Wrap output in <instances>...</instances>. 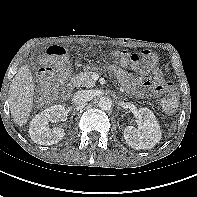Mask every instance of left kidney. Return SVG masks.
<instances>
[{"label": "left kidney", "instance_id": "left-kidney-1", "mask_svg": "<svg viewBox=\"0 0 197 197\" xmlns=\"http://www.w3.org/2000/svg\"><path fill=\"white\" fill-rule=\"evenodd\" d=\"M138 129L127 126L124 129L126 143L134 149H150L154 147L162 137L160 126L154 113L148 108H140L136 114Z\"/></svg>", "mask_w": 197, "mask_h": 197}]
</instances>
